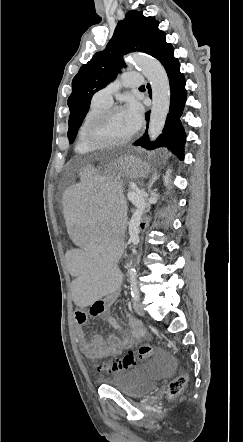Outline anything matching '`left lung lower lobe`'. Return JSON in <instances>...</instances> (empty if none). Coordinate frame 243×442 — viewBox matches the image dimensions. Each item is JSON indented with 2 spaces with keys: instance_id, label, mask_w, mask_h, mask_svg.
<instances>
[{
  "instance_id": "left-lung-lower-lobe-1",
  "label": "left lung lower lobe",
  "mask_w": 243,
  "mask_h": 442,
  "mask_svg": "<svg viewBox=\"0 0 243 442\" xmlns=\"http://www.w3.org/2000/svg\"><path fill=\"white\" fill-rule=\"evenodd\" d=\"M153 57L161 62L169 78L171 90L170 109L162 134L154 142H151L147 134L148 130H146L145 134L134 145H140L148 150L167 147L183 160L186 135L180 117L182 116L187 96L185 78L180 72L178 59L174 57L173 46L167 43L166 39H163L158 45ZM147 88L151 95L150 86L148 85ZM149 114L150 112H147V121H149Z\"/></svg>"
}]
</instances>
